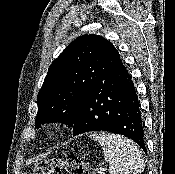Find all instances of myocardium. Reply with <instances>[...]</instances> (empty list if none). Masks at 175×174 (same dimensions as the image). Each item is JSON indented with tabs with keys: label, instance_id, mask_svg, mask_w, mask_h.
<instances>
[{
	"label": "myocardium",
	"instance_id": "f54148a6",
	"mask_svg": "<svg viewBox=\"0 0 175 174\" xmlns=\"http://www.w3.org/2000/svg\"><path fill=\"white\" fill-rule=\"evenodd\" d=\"M59 123H54L53 125H52V129L53 130H57L58 128H59Z\"/></svg>",
	"mask_w": 175,
	"mask_h": 174
}]
</instances>
